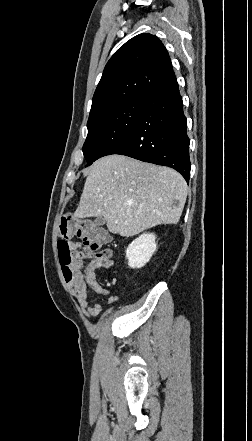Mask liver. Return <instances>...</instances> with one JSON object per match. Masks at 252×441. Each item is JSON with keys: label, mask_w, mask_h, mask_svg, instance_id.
<instances>
[{"label": "liver", "mask_w": 252, "mask_h": 441, "mask_svg": "<svg viewBox=\"0 0 252 441\" xmlns=\"http://www.w3.org/2000/svg\"><path fill=\"white\" fill-rule=\"evenodd\" d=\"M187 190L174 169L109 155L89 168L74 216L103 217L111 233L131 237L156 225L177 224Z\"/></svg>", "instance_id": "1"}]
</instances>
